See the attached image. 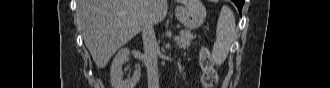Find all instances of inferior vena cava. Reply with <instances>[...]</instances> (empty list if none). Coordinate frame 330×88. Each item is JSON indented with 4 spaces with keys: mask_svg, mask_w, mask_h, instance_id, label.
<instances>
[{
    "mask_svg": "<svg viewBox=\"0 0 330 88\" xmlns=\"http://www.w3.org/2000/svg\"><path fill=\"white\" fill-rule=\"evenodd\" d=\"M142 39L144 46V58L147 68L148 88H159L158 53L159 45L154 32V24L146 22L143 26Z\"/></svg>",
    "mask_w": 330,
    "mask_h": 88,
    "instance_id": "inferior-vena-cava-1",
    "label": "inferior vena cava"
}]
</instances>
